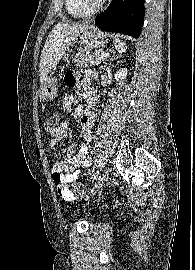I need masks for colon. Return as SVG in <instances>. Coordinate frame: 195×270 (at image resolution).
Masks as SVG:
<instances>
[{
	"label": "colon",
	"instance_id": "obj_1",
	"mask_svg": "<svg viewBox=\"0 0 195 270\" xmlns=\"http://www.w3.org/2000/svg\"><path fill=\"white\" fill-rule=\"evenodd\" d=\"M59 115L57 113L52 114L48 118L44 120V127L47 131H51L53 128H55L59 123ZM75 194L77 195H83L86 192L85 187L80 184H74L69 187Z\"/></svg>",
	"mask_w": 195,
	"mask_h": 270
}]
</instances>
